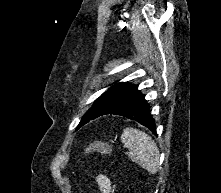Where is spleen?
<instances>
[{"mask_svg":"<svg viewBox=\"0 0 221 193\" xmlns=\"http://www.w3.org/2000/svg\"><path fill=\"white\" fill-rule=\"evenodd\" d=\"M121 141L129 148L131 160L154 174L159 168V150L152 138L136 128H126Z\"/></svg>","mask_w":221,"mask_h":193,"instance_id":"obj_1","label":"spleen"}]
</instances>
